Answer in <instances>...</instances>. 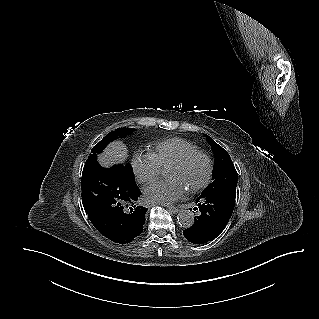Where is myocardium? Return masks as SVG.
Instances as JSON below:
<instances>
[{"label": "myocardium", "mask_w": 319, "mask_h": 319, "mask_svg": "<svg viewBox=\"0 0 319 319\" xmlns=\"http://www.w3.org/2000/svg\"><path fill=\"white\" fill-rule=\"evenodd\" d=\"M195 157H203L207 164V172L204 177V179L196 186L189 189L190 192H197L205 188L211 181L212 175H213V161L208 153L202 150H193L189 151L185 154H183L180 158L172 162L168 167H180L185 165L187 162H189L191 159Z\"/></svg>", "instance_id": "1"}]
</instances>
